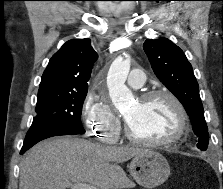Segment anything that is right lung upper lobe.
<instances>
[{"label":"right lung upper lobe","mask_w":223,"mask_h":189,"mask_svg":"<svg viewBox=\"0 0 223 189\" xmlns=\"http://www.w3.org/2000/svg\"><path fill=\"white\" fill-rule=\"evenodd\" d=\"M98 54L89 39L67 41L50 59L38 93L88 89V80Z\"/></svg>","instance_id":"obj_1"}]
</instances>
